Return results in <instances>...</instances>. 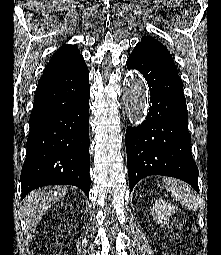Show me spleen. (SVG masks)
<instances>
[{"label": "spleen", "instance_id": "obj_1", "mask_svg": "<svg viewBox=\"0 0 221 255\" xmlns=\"http://www.w3.org/2000/svg\"><path fill=\"white\" fill-rule=\"evenodd\" d=\"M165 189L183 206L196 210L199 201L196 193L185 183L175 178H163Z\"/></svg>", "mask_w": 221, "mask_h": 255}]
</instances>
